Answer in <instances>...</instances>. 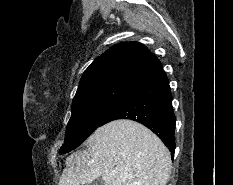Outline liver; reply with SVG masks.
Listing matches in <instances>:
<instances>
[{"instance_id":"1","label":"liver","mask_w":233,"mask_h":185,"mask_svg":"<svg viewBox=\"0 0 233 185\" xmlns=\"http://www.w3.org/2000/svg\"><path fill=\"white\" fill-rule=\"evenodd\" d=\"M87 149L71 154L58 185H166L171 156L148 128L132 120L107 123L88 137Z\"/></svg>"}]
</instances>
